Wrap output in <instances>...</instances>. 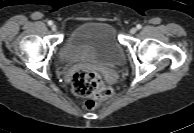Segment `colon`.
<instances>
[{
    "instance_id": "obj_1",
    "label": "colon",
    "mask_w": 194,
    "mask_h": 133,
    "mask_svg": "<svg viewBox=\"0 0 194 133\" xmlns=\"http://www.w3.org/2000/svg\"><path fill=\"white\" fill-rule=\"evenodd\" d=\"M72 88L76 95L87 98L89 109L97 107L113 96L112 88L104 85L97 72L78 70L73 75Z\"/></svg>"
}]
</instances>
